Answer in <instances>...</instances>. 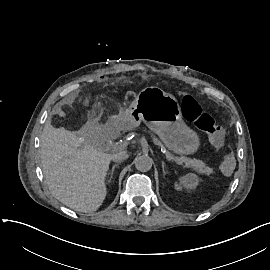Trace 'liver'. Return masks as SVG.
<instances>
[{"mask_svg": "<svg viewBox=\"0 0 270 270\" xmlns=\"http://www.w3.org/2000/svg\"><path fill=\"white\" fill-rule=\"evenodd\" d=\"M40 143L43 172L52 195L71 209L97 211L108 193L112 155L104 153L97 140H84L64 127H54L51 119Z\"/></svg>", "mask_w": 270, "mask_h": 270, "instance_id": "liver-1", "label": "liver"}]
</instances>
